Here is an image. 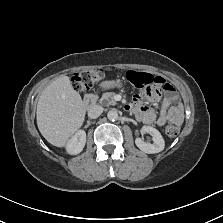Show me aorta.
Listing matches in <instances>:
<instances>
[{"label":"aorta","mask_w":223,"mask_h":223,"mask_svg":"<svg viewBox=\"0 0 223 223\" xmlns=\"http://www.w3.org/2000/svg\"><path fill=\"white\" fill-rule=\"evenodd\" d=\"M107 118L111 121H115L118 118V113L115 110H109L107 113Z\"/></svg>","instance_id":"obj_1"}]
</instances>
